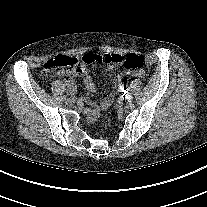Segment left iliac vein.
Instances as JSON below:
<instances>
[{"label":"left iliac vein","instance_id":"obj_1","mask_svg":"<svg viewBox=\"0 0 207 207\" xmlns=\"http://www.w3.org/2000/svg\"><path fill=\"white\" fill-rule=\"evenodd\" d=\"M132 101H133V98H132V97H131L130 99H127V98H126V102H127V103H131Z\"/></svg>","mask_w":207,"mask_h":207}]
</instances>
